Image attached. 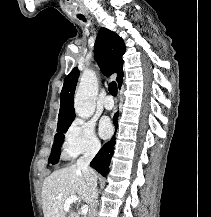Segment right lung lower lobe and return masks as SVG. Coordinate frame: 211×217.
Instances as JSON below:
<instances>
[{"instance_id": "obj_1", "label": "right lung lower lobe", "mask_w": 211, "mask_h": 217, "mask_svg": "<svg viewBox=\"0 0 211 217\" xmlns=\"http://www.w3.org/2000/svg\"><path fill=\"white\" fill-rule=\"evenodd\" d=\"M117 117L118 113L114 115V123L117 126ZM115 145V138L113 137L109 142H107L95 158L91 161L90 166L101 173L103 176H106L109 172L110 159L113 153V148Z\"/></svg>"}]
</instances>
